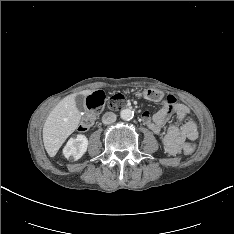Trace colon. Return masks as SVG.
<instances>
[{
  "mask_svg": "<svg viewBox=\"0 0 234 234\" xmlns=\"http://www.w3.org/2000/svg\"><path fill=\"white\" fill-rule=\"evenodd\" d=\"M141 97L150 101H161L164 98L162 92L155 89L144 90L139 93ZM125 95L123 93H115L111 97L106 98L102 92H94L86 99L87 114L80 121L78 130L85 132L89 130L99 115L101 110L106 107L109 110H119L125 105ZM198 146L195 143L187 144L184 147V152L187 155L197 151Z\"/></svg>",
  "mask_w": 234,
  "mask_h": 234,
  "instance_id": "5ec220e1",
  "label": "colon"
}]
</instances>
